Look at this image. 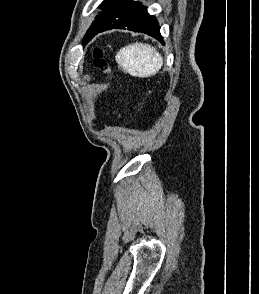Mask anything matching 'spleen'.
Returning <instances> with one entry per match:
<instances>
[{"label":"spleen","instance_id":"obj_1","mask_svg":"<svg viewBox=\"0 0 259 294\" xmlns=\"http://www.w3.org/2000/svg\"><path fill=\"white\" fill-rule=\"evenodd\" d=\"M115 59L124 72L139 78L155 75L163 65V58L154 47L138 42L120 49Z\"/></svg>","mask_w":259,"mask_h":294}]
</instances>
